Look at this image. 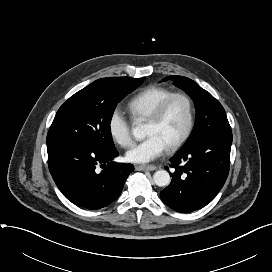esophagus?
I'll list each match as a JSON object with an SVG mask.
<instances>
[{"label":"esophagus","instance_id":"1","mask_svg":"<svg viewBox=\"0 0 272 272\" xmlns=\"http://www.w3.org/2000/svg\"><path fill=\"white\" fill-rule=\"evenodd\" d=\"M136 169L139 171H154L157 167L154 165H138L136 166Z\"/></svg>","mask_w":272,"mask_h":272}]
</instances>
